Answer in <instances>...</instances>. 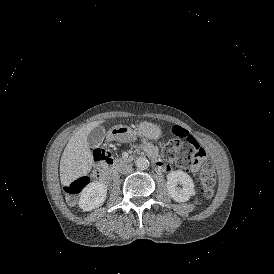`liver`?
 Returning a JSON list of instances; mask_svg holds the SVG:
<instances>
[{
	"mask_svg": "<svg viewBox=\"0 0 274 274\" xmlns=\"http://www.w3.org/2000/svg\"><path fill=\"white\" fill-rule=\"evenodd\" d=\"M103 121H93L81 127L69 140L60 161V180L69 186L74 180L86 176L93 165V156L87 143V136Z\"/></svg>",
	"mask_w": 274,
	"mask_h": 274,
	"instance_id": "1",
	"label": "liver"
}]
</instances>
